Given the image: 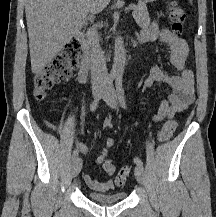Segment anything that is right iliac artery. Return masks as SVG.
Returning a JSON list of instances; mask_svg holds the SVG:
<instances>
[{
    "label": "right iliac artery",
    "mask_w": 216,
    "mask_h": 217,
    "mask_svg": "<svg viewBox=\"0 0 216 217\" xmlns=\"http://www.w3.org/2000/svg\"><path fill=\"white\" fill-rule=\"evenodd\" d=\"M115 79V75L114 74H111L109 77H108V80H107V84H106V90L112 85L113 81ZM101 98V97H100ZM100 98L98 99H95L91 105H90V109L92 112H94L98 106V103L100 101ZM78 153L79 151L76 149L73 151V154H72V159L75 160L77 157H78Z\"/></svg>",
    "instance_id": "right-iliac-artery-1"
}]
</instances>
